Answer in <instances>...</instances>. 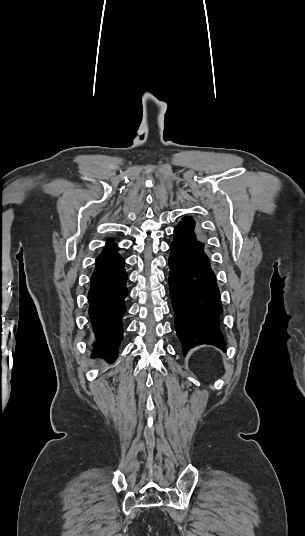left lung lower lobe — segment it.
<instances>
[{
    "mask_svg": "<svg viewBox=\"0 0 305 536\" xmlns=\"http://www.w3.org/2000/svg\"><path fill=\"white\" fill-rule=\"evenodd\" d=\"M169 290L175 312V328L184 355L191 348L210 344L225 351L219 329L223 311L216 277L204 244L193 231L176 227L170 246Z\"/></svg>",
    "mask_w": 305,
    "mask_h": 536,
    "instance_id": "0a47b994",
    "label": "left lung lower lobe"
}]
</instances>
